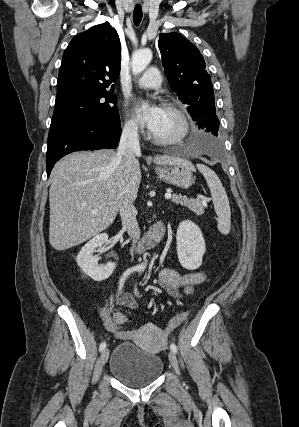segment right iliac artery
I'll list each match as a JSON object with an SVG mask.
<instances>
[{
	"instance_id": "right-iliac-artery-1",
	"label": "right iliac artery",
	"mask_w": 299,
	"mask_h": 427,
	"mask_svg": "<svg viewBox=\"0 0 299 427\" xmlns=\"http://www.w3.org/2000/svg\"><path fill=\"white\" fill-rule=\"evenodd\" d=\"M137 270H138V268H137V267H131V268L127 269V270L123 273V275H122V277L120 278V281H119L118 293H121V291H122V287H123V284H124V282H125L126 278H127L131 273H133V272H135V271H137ZM105 348H106V343H105V342H102V343L100 344V346H99V350H100V351H102V350H104Z\"/></svg>"
}]
</instances>
